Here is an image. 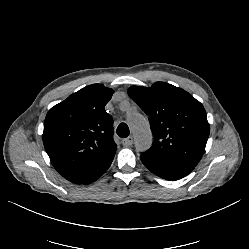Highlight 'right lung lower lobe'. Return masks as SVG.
<instances>
[{
  "instance_id": "obj_1",
  "label": "right lung lower lobe",
  "mask_w": 249,
  "mask_h": 249,
  "mask_svg": "<svg viewBox=\"0 0 249 249\" xmlns=\"http://www.w3.org/2000/svg\"><path fill=\"white\" fill-rule=\"evenodd\" d=\"M110 165H111V163H109L98 174L94 175L92 178H90L88 181L84 182L83 184H90V183L96 181L101 175H103L106 172V170L109 168Z\"/></svg>"
}]
</instances>
